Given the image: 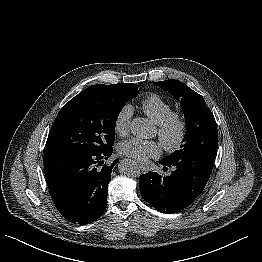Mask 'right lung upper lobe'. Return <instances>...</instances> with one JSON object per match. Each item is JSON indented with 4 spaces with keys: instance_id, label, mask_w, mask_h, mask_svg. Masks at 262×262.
Returning a JSON list of instances; mask_svg holds the SVG:
<instances>
[{
    "instance_id": "obj_1",
    "label": "right lung upper lobe",
    "mask_w": 262,
    "mask_h": 262,
    "mask_svg": "<svg viewBox=\"0 0 262 262\" xmlns=\"http://www.w3.org/2000/svg\"><path fill=\"white\" fill-rule=\"evenodd\" d=\"M121 84H112V85H106L108 88L114 89L118 88Z\"/></svg>"
}]
</instances>
